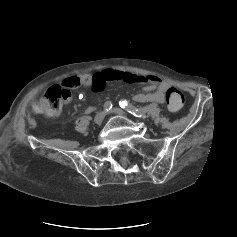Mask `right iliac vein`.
Listing matches in <instances>:
<instances>
[{
    "instance_id": "obj_1",
    "label": "right iliac vein",
    "mask_w": 237,
    "mask_h": 237,
    "mask_svg": "<svg viewBox=\"0 0 237 237\" xmlns=\"http://www.w3.org/2000/svg\"><path fill=\"white\" fill-rule=\"evenodd\" d=\"M104 119V113L98 112L94 117V123L100 125Z\"/></svg>"
}]
</instances>
